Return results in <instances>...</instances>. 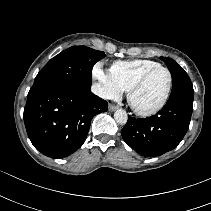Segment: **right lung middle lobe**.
I'll return each instance as SVG.
<instances>
[{"mask_svg": "<svg viewBox=\"0 0 211 211\" xmlns=\"http://www.w3.org/2000/svg\"><path fill=\"white\" fill-rule=\"evenodd\" d=\"M105 57L104 52L73 46L52 58L38 73L33 85L60 84L90 90L92 68Z\"/></svg>", "mask_w": 211, "mask_h": 211, "instance_id": "obj_1", "label": "right lung middle lobe"}]
</instances>
